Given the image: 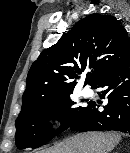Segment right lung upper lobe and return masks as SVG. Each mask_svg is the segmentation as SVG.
<instances>
[{"mask_svg":"<svg viewBox=\"0 0 130 153\" xmlns=\"http://www.w3.org/2000/svg\"><path fill=\"white\" fill-rule=\"evenodd\" d=\"M129 59L130 40L119 21L111 15H88L32 64L19 116L72 94L85 70L91 69L85 84L93 88L104 74Z\"/></svg>","mask_w":130,"mask_h":153,"instance_id":"cb5924a9","label":"right lung upper lobe"}]
</instances>
